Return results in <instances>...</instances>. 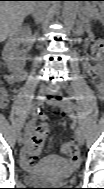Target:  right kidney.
<instances>
[{
	"label": "right kidney",
	"instance_id": "right-kidney-1",
	"mask_svg": "<svg viewBox=\"0 0 104 189\" xmlns=\"http://www.w3.org/2000/svg\"><path fill=\"white\" fill-rule=\"evenodd\" d=\"M30 30L27 28L20 29L16 34L10 36L3 51L2 57L6 62L7 68L11 72L20 71L26 62V56L23 49L19 46L27 40Z\"/></svg>",
	"mask_w": 104,
	"mask_h": 189
}]
</instances>
